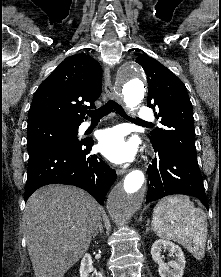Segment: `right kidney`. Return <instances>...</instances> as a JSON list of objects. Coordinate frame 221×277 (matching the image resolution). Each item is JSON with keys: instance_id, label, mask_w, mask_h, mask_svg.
Instances as JSON below:
<instances>
[{"instance_id": "obj_1", "label": "right kidney", "mask_w": 221, "mask_h": 277, "mask_svg": "<svg viewBox=\"0 0 221 277\" xmlns=\"http://www.w3.org/2000/svg\"><path fill=\"white\" fill-rule=\"evenodd\" d=\"M93 272V273H92ZM80 277H90V273H92V277H103L101 272H97L92 266V258L90 254H85L81 260V265L79 269Z\"/></svg>"}]
</instances>
